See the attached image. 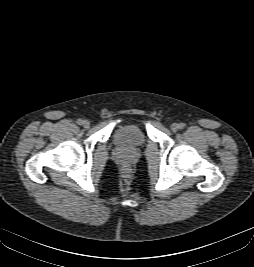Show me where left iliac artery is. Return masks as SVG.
Segmentation results:
<instances>
[{"instance_id":"1","label":"left iliac artery","mask_w":254,"mask_h":267,"mask_svg":"<svg viewBox=\"0 0 254 267\" xmlns=\"http://www.w3.org/2000/svg\"><path fill=\"white\" fill-rule=\"evenodd\" d=\"M183 128H185V124L184 123H180L179 124V129H183Z\"/></svg>"}]
</instances>
